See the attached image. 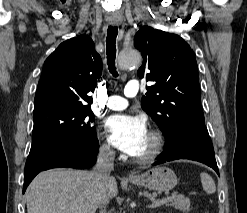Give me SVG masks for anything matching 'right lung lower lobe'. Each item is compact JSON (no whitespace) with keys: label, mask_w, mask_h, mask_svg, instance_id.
Listing matches in <instances>:
<instances>
[{"label":"right lung lower lobe","mask_w":247,"mask_h":213,"mask_svg":"<svg viewBox=\"0 0 247 213\" xmlns=\"http://www.w3.org/2000/svg\"><path fill=\"white\" fill-rule=\"evenodd\" d=\"M99 144L85 147L70 135L39 144L30 150L24 171L23 193L41 171L58 168H89L96 162Z\"/></svg>","instance_id":"obj_1"}]
</instances>
